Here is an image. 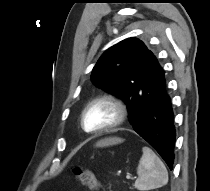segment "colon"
I'll return each instance as SVG.
<instances>
[{"mask_svg":"<svg viewBox=\"0 0 210 191\" xmlns=\"http://www.w3.org/2000/svg\"><path fill=\"white\" fill-rule=\"evenodd\" d=\"M73 171L77 180L82 185L86 186L91 190H95L99 187L98 179L92 171L81 167H76Z\"/></svg>","mask_w":210,"mask_h":191,"instance_id":"1","label":"colon"}]
</instances>
